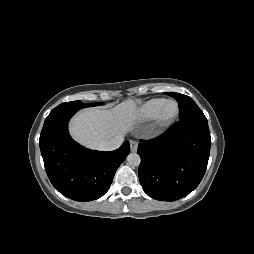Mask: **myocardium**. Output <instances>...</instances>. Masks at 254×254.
<instances>
[{
    "label": "myocardium",
    "mask_w": 254,
    "mask_h": 254,
    "mask_svg": "<svg viewBox=\"0 0 254 254\" xmlns=\"http://www.w3.org/2000/svg\"><path fill=\"white\" fill-rule=\"evenodd\" d=\"M174 104L175 105V111L172 115H167V108L169 105ZM180 112L179 104L175 100H168L165 102L163 107L161 108L160 112L158 113L156 119V125L159 128H166L170 126L178 117Z\"/></svg>",
    "instance_id": "myocardium-1"
}]
</instances>
